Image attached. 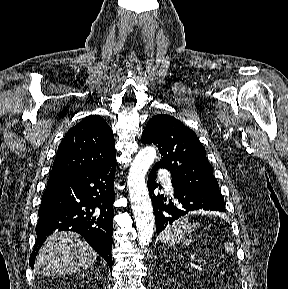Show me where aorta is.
<instances>
[{
	"instance_id": "1",
	"label": "aorta",
	"mask_w": 288,
	"mask_h": 289,
	"mask_svg": "<svg viewBox=\"0 0 288 289\" xmlns=\"http://www.w3.org/2000/svg\"><path fill=\"white\" fill-rule=\"evenodd\" d=\"M157 157L155 147L140 150L131 163L127 186L141 247L149 245L154 234L155 220L145 176Z\"/></svg>"
}]
</instances>
